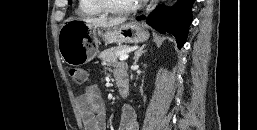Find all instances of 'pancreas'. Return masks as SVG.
<instances>
[{"label":"pancreas","instance_id":"obj_1","mask_svg":"<svg viewBox=\"0 0 257 130\" xmlns=\"http://www.w3.org/2000/svg\"><path fill=\"white\" fill-rule=\"evenodd\" d=\"M128 46H118L112 47L110 49L104 50L100 55L99 58L104 62L110 65H114L117 63V59L119 57L118 53L126 51Z\"/></svg>","mask_w":257,"mask_h":130}]
</instances>
